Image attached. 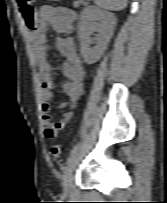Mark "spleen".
Returning a JSON list of instances; mask_svg holds the SVG:
<instances>
[{"mask_svg": "<svg viewBox=\"0 0 167 203\" xmlns=\"http://www.w3.org/2000/svg\"><path fill=\"white\" fill-rule=\"evenodd\" d=\"M95 3L107 10L120 11L127 5V0H95Z\"/></svg>", "mask_w": 167, "mask_h": 203, "instance_id": "obj_1", "label": "spleen"}]
</instances>
